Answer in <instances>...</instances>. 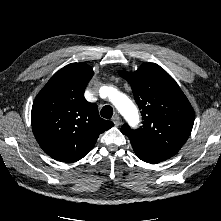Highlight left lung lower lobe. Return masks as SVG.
<instances>
[{
	"label": "left lung lower lobe",
	"mask_w": 221,
	"mask_h": 221,
	"mask_svg": "<svg viewBox=\"0 0 221 221\" xmlns=\"http://www.w3.org/2000/svg\"><path fill=\"white\" fill-rule=\"evenodd\" d=\"M131 144L136 156L147 163L157 164L161 161L168 159L158 154H155L154 152L148 150L147 148L143 147L141 144L137 142L131 141Z\"/></svg>",
	"instance_id": "1"
}]
</instances>
